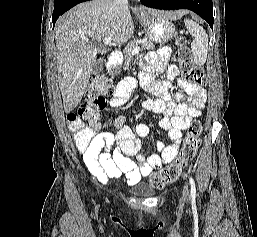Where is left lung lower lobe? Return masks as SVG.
Returning a JSON list of instances; mask_svg holds the SVG:
<instances>
[{"label": "left lung lower lobe", "instance_id": "left-lung-lower-lobe-1", "mask_svg": "<svg viewBox=\"0 0 257 237\" xmlns=\"http://www.w3.org/2000/svg\"><path fill=\"white\" fill-rule=\"evenodd\" d=\"M147 7L175 10V9H189L197 13L204 20L208 22L213 29V3L212 0H161V1H141Z\"/></svg>", "mask_w": 257, "mask_h": 237}]
</instances>
